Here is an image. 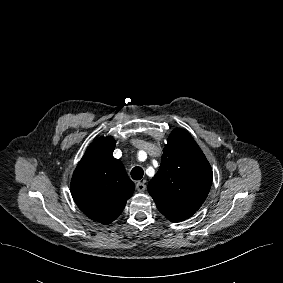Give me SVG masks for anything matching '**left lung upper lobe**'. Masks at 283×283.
I'll return each instance as SVG.
<instances>
[{"label": "left lung upper lobe", "mask_w": 283, "mask_h": 283, "mask_svg": "<svg viewBox=\"0 0 283 283\" xmlns=\"http://www.w3.org/2000/svg\"><path fill=\"white\" fill-rule=\"evenodd\" d=\"M212 169L192 136L174 129L163 150L158 172L148 184L159 211L170 221L190 218L205 201Z\"/></svg>", "instance_id": "left-lung-upper-lobe-1"}]
</instances>
